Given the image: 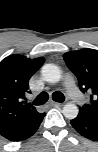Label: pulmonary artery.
Instances as JSON below:
<instances>
[{"mask_svg": "<svg viewBox=\"0 0 98 152\" xmlns=\"http://www.w3.org/2000/svg\"><path fill=\"white\" fill-rule=\"evenodd\" d=\"M64 86L67 90L68 96L75 102L78 103L83 99L82 94L76 87L73 77L67 75L64 78Z\"/></svg>", "mask_w": 98, "mask_h": 152, "instance_id": "1", "label": "pulmonary artery"}]
</instances>
